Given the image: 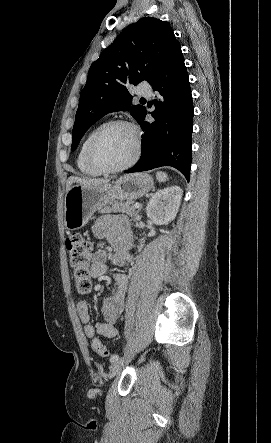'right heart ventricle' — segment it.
<instances>
[{
  "label": "right heart ventricle",
  "mask_w": 271,
  "mask_h": 443,
  "mask_svg": "<svg viewBox=\"0 0 271 443\" xmlns=\"http://www.w3.org/2000/svg\"><path fill=\"white\" fill-rule=\"evenodd\" d=\"M103 125V123H100L96 126H94L83 138V140L80 143V146L78 148L77 154H76V166L78 168V170L86 175V176H90V177H96L99 176L101 173L99 171H97L96 169H94L93 167H91L89 165V163L86 160V148L87 145L90 141V139L92 138V136L94 135V133Z\"/></svg>",
  "instance_id": "right-heart-ventricle-1"
}]
</instances>
